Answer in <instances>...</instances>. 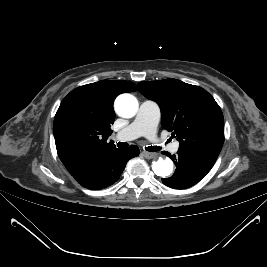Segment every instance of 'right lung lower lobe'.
<instances>
[{"label":"right lung lower lobe","mask_w":267,"mask_h":267,"mask_svg":"<svg viewBox=\"0 0 267 267\" xmlns=\"http://www.w3.org/2000/svg\"><path fill=\"white\" fill-rule=\"evenodd\" d=\"M139 148L135 145L127 149L102 151L89 158L71 175L85 188L98 190L114 184L124 170L126 163L138 156Z\"/></svg>","instance_id":"obj_1"}]
</instances>
